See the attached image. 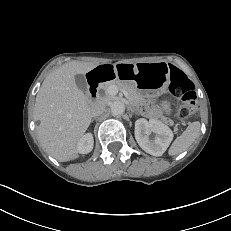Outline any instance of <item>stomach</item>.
<instances>
[{"label": "stomach", "mask_w": 231, "mask_h": 231, "mask_svg": "<svg viewBox=\"0 0 231 231\" xmlns=\"http://www.w3.org/2000/svg\"><path fill=\"white\" fill-rule=\"evenodd\" d=\"M126 65L130 72V79L144 96H156L165 93L170 84V67L165 62H139L136 64L119 63L115 69ZM163 111L170 113L168 102L161 104Z\"/></svg>", "instance_id": "stomach-1"}]
</instances>
